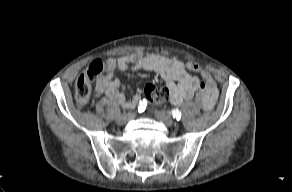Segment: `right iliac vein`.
Wrapping results in <instances>:
<instances>
[{
  "label": "right iliac vein",
  "mask_w": 292,
  "mask_h": 192,
  "mask_svg": "<svg viewBox=\"0 0 292 192\" xmlns=\"http://www.w3.org/2000/svg\"><path fill=\"white\" fill-rule=\"evenodd\" d=\"M134 117H135V113L130 112V113L126 114V115L119 116L116 119V122L119 125H123V124H126L129 120L133 119Z\"/></svg>",
  "instance_id": "right-iliac-vein-1"
}]
</instances>
